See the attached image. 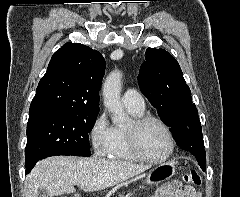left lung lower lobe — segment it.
<instances>
[{
  "label": "left lung lower lobe",
  "mask_w": 240,
  "mask_h": 197,
  "mask_svg": "<svg viewBox=\"0 0 240 197\" xmlns=\"http://www.w3.org/2000/svg\"><path fill=\"white\" fill-rule=\"evenodd\" d=\"M200 167L202 168L203 171H205V161H198Z\"/></svg>",
  "instance_id": "0a47b994"
}]
</instances>
